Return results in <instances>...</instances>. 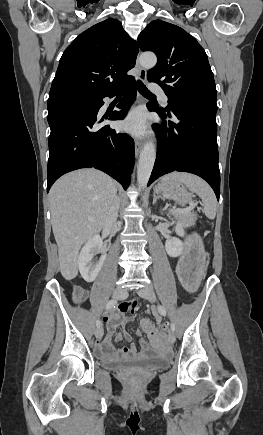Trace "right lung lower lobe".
Segmentation results:
<instances>
[{
    "mask_svg": "<svg viewBox=\"0 0 263 435\" xmlns=\"http://www.w3.org/2000/svg\"><path fill=\"white\" fill-rule=\"evenodd\" d=\"M123 90L125 95L117 105L121 111L105 115L99 120L98 112L104 97H113ZM136 96L134 78L114 92L104 94L87 103L55 108L48 113L51 128L49 136V159L47 167V191L63 174L80 169L102 170L124 189L131 180L134 166V141L126 133L115 131L107 120L124 119Z\"/></svg>",
    "mask_w": 263,
    "mask_h": 435,
    "instance_id": "obj_1",
    "label": "right lung lower lobe"
}]
</instances>
